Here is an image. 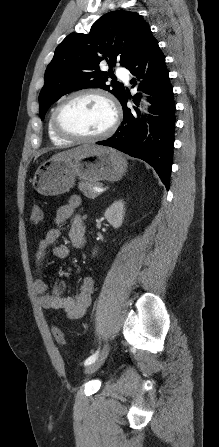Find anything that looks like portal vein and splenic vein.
Returning <instances> with one entry per match:
<instances>
[{"mask_svg":"<svg viewBox=\"0 0 219 447\" xmlns=\"http://www.w3.org/2000/svg\"><path fill=\"white\" fill-rule=\"evenodd\" d=\"M93 190H94L95 192H97V193H101V192L104 191V189H103V188H100V187H93Z\"/></svg>","mask_w":219,"mask_h":447,"instance_id":"portal-vein-and-splenic-vein-1","label":"portal vein and splenic vein"}]
</instances>
